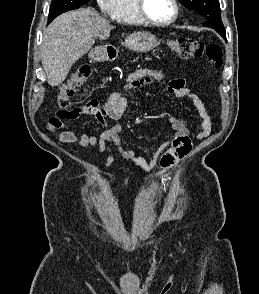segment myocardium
<instances>
[{
	"mask_svg": "<svg viewBox=\"0 0 259 294\" xmlns=\"http://www.w3.org/2000/svg\"><path fill=\"white\" fill-rule=\"evenodd\" d=\"M136 1V10L137 13L140 17V19L143 21V23L145 24H149L152 26H157V27H165V26H169L171 24H173L179 17V13H180V7H179V3L178 0H171L173 7H174V13L173 16L167 20V21H156L154 19H152L146 11V0H135Z\"/></svg>",
	"mask_w": 259,
	"mask_h": 294,
	"instance_id": "myocardium-1",
	"label": "myocardium"
}]
</instances>
